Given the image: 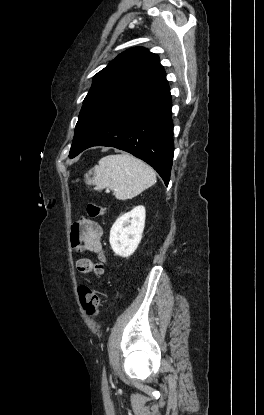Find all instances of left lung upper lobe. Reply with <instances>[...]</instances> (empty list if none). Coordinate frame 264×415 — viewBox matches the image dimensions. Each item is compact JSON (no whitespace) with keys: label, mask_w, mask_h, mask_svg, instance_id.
Returning a JSON list of instances; mask_svg holds the SVG:
<instances>
[{"label":"left lung upper lobe","mask_w":264,"mask_h":415,"mask_svg":"<svg viewBox=\"0 0 264 415\" xmlns=\"http://www.w3.org/2000/svg\"><path fill=\"white\" fill-rule=\"evenodd\" d=\"M166 77L157 55L143 47L119 54L93 77L90 91L83 101L69 157L87 138L101 116L123 99L136 94Z\"/></svg>","instance_id":"left-lung-upper-lobe-1"}]
</instances>
